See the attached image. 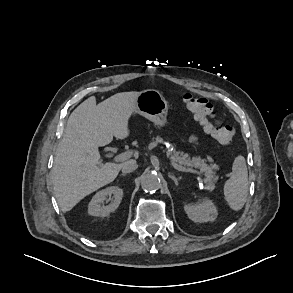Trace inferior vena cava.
Returning <instances> with one entry per match:
<instances>
[{"mask_svg": "<svg viewBox=\"0 0 293 293\" xmlns=\"http://www.w3.org/2000/svg\"><path fill=\"white\" fill-rule=\"evenodd\" d=\"M137 167L138 165L135 160H129L122 163L121 170H122V173L126 174L136 170Z\"/></svg>", "mask_w": 293, "mask_h": 293, "instance_id": "obj_1", "label": "inferior vena cava"}]
</instances>
